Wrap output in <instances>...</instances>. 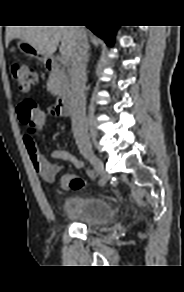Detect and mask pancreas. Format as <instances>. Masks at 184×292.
Segmentation results:
<instances>
[{
	"label": "pancreas",
	"instance_id": "pancreas-1",
	"mask_svg": "<svg viewBox=\"0 0 184 292\" xmlns=\"http://www.w3.org/2000/svg\"><path fill=\"white\" fill-rule=\"evenodd\" d=\"M67 88L68 81L64 76V68L52 72L47 81V90L51 92L52 95H58Z\"/></svg>",
	"mask_w": 184,
	"mask_h": 292
}]
</instances>
